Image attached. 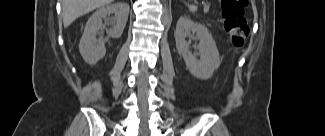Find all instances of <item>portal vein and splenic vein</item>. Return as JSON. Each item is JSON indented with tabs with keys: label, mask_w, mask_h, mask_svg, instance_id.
<instances>
[{
	"label": "portal vein and splenic vein",
	"mask_w": 325,
	"mask_h": 136,
	"mask_svg": "<svg viewBox=\"0 0 325 136\" xmlns=\"http://www.w3.org/2000/svg\"><path fill=\"white\" fill-rule=\"evenodd\" d=\"M209 11V5H204V12H208Z\"/></svg>",
	"instance_id": "portal-vein-and-splenic-vein-1"
}]
</instances>
